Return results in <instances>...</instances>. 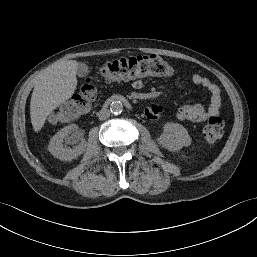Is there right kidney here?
Segmentation results:
<instances>
[{
	"label": "right kidney",
	"instance_id": "obj_1",
	"mask_svg": "<svg viewBox=\"0 0 257 257\" xmlns=\"http://www.w3.org/2000/svg\"><path fill=\"white\" fill-rule=\"evenodd\" d=\"M76 129L77 126L74 124L66 126L59 130L51 138L48 150L54 157L59 158L63 161H71L77 158L85 151L86 146L84 142H81L80 144L76 145L73 149L63 144L64 141H66L69 144H74L82 139L81 135L77 132L74 133L71 137H69V134H71Z\"/></svg>",
	"mask_w": 257,
	"mask_h": 257
}]
</instances>
